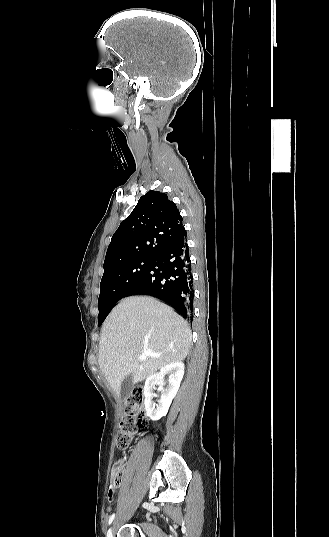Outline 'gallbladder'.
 <instances>
[{
	"label": "gallbladder",
	"mask_w": 329,
	"mask_h": 537,
	"mask_svg": "<svg viewBox=\"0 0 329 537\" xmlns=\"http://www.w3.org/2000/svg\"><path fill=\"white\" fill-rule=\"evenodd\" d=\"M133 388H134L133 376L130 374L127 377H125L121 383V388H120L121 397L125 398L126 396L130 395Z\"/></svg>",
	"instance_id": "gallbladder-1"
}]
</instances>
